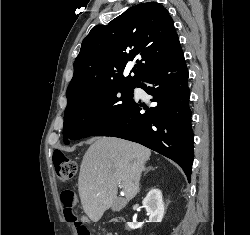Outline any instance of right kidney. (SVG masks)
Wrapping results in <instances>:
<instances>
[{
  "mask_svg": "<svg viewBox=\"0 0 250 235\" xmlns=\"http://www.w3.org/2000/svg\"><path fill=\"white\" fill-rule=\"evenodd\" d=\"M145 207L150 222H161L164 216V203L162 192L159 189H151L146 197L142 201ZM128 226L131 229H138L142 226V223L129 222Z\"/></svg>",
  "mask_w": 250,
  "mask_h": 235,
  "instance_id": "ca27d5eb",
  "label": "right kidney"
}]
</instances>
